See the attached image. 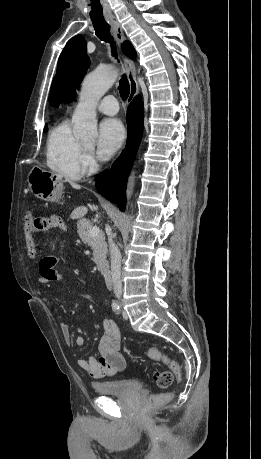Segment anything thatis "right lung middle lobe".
Masks as SVG:
<instances>
[{
    "label": "right lung middle lobe",
    "mask_w": 261,
    "mask_h": 459,
    "mask_svg": "<svg viewBox=\"0 0 261 459\" xmlns=\"http://www.w3.org/2000/svg\"><path fill=\"white\" fill-rule=\"evenodd\" d=\"M44 132H47V128L46 127L44 128Z\"/></svg>",
    "instance_id": "1"
}]
</instances>
